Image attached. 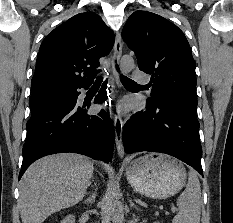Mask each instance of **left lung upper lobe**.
<instances>
[{
    "mask_svg": "<svg viewBox=\"0 0 233 223\" xmlns=\"http://www.w3.org/2000/svg\"><path fill=\"white\" fill-rule=\"evenodd\" d=\"M122 37L135 52L139 69L152 75L147 106L197 108L195 61L185 35L176 25L157 14L135 11Z\"/></svg>",
    "mask_w": 233,
    "mask_h": 223,
    "instance_id": "1",
    "label": "left lung upper lobe"
}]
</instances>
